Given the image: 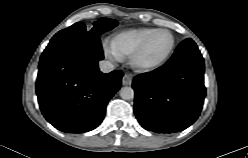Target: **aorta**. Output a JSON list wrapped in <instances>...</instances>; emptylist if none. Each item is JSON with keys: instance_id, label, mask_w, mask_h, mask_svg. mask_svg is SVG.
<instances>
[{"instance_id": "762f6f07", "label": "aorta", "mask_w": 248, "mask_h": 158, "mask_svg": "<svg viewBox=\"0 0 248 158\" xmlns=\"http://www.w3.org/2000/svg\"><path fill=\"white\" fill-rule=\"evenodd\" d=\"M134 90L131 87H122L120 89V97L124 100H130L134 98Z\"/></svg>"}]
</instances>
